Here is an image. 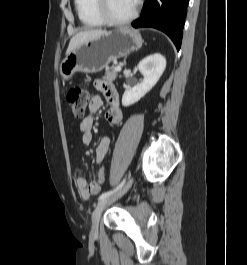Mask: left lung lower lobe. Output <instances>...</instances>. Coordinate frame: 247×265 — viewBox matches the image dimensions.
Segmentation results:
<instances>
[{"mask_svg":"<svg viewBox=\"0 0 247 265\" xmlns=\"http://www.w3.org/2000/svg\"><path fill=\"white\" fill-rule=\"evenodd\" d=\"M188 3L189 0H146L140 18L132 26L152 27L163 31L179 50Z\"/></svg>","mask_w":247,"mask_h":265,"instance_id":"left-lung-lower-lobe-1","label":"left lung lower lobe"}]
</instances>
